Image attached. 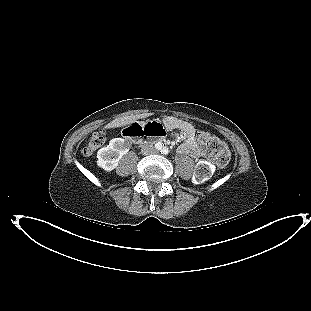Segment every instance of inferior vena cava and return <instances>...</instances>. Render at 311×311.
<instances>
[{
  "label": "inferior vena cava",
  "mask_w": 311,
  "mask_h": 311,
  "mask_svg": "<svg viewBox=\"0 0 311 311\" xmlns=\"http://www.w3.org/2000/svg\"><path fill=\"white\" fill-rule=\"evenodd\" d=\"M148 146L152 147V145L150 143L149 144L148 143H144L142 148L145 150L146 148H148Z\"/></svg>",
  "instance_id": "1"
}]
</instances>
